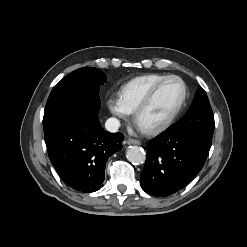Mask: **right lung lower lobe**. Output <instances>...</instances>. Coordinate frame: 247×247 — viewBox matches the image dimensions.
<instances>
[{
  "mask_svg": "<svg viewBox=\"0 0 247 247\" xmlns=\"http://www.w3.org/2000/svg\"><path fill=\"white\" fill-rule=\"evenodd\" d=\"M51 163L62 180L84 192L102 187L108 158L122 148L123 134L101 127L98 114L84 115L44 130Z\"/></svg>",
  "mask_w": 247,
  "mask_h": 247,
  "instance_id": "obj_1",
  "label": "right lung lower lobe"
}]
</instances>
